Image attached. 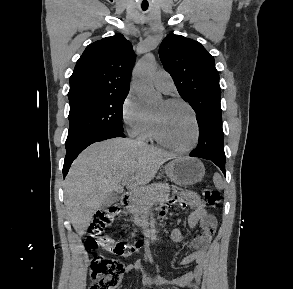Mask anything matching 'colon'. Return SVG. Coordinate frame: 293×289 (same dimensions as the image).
Listing matches in <instances>:
<instances>
[{"instance_id": "1", "label": "colon", "mask_w": 293, "mask_h": 289, "mask_svg": "<svg viewBox=\"0 0 293 289\" xmlns=\"http://www.w3.org/2000/svg\"><path fill=\"white\" fill-rule=\"evenodd\" d=\"M203 196L212 207L218 206L221 201L220 193L216 190L204 189ZM175 203L184 206L183 199ZM169 209L170 206L164 207L160 211V215H167ZM120 212V204H113L95 215L89 225L88 235L85 239L87 249L94 250L101 246L109 253L121 257H128L139 252L140 243L137 241H114L109 236L103 235L104 230L114 222ZM124 272L125 266L121 261L103 256L94 257L90 261L92 281L90 289H115Z\"/></svg>"}]
</instances>
